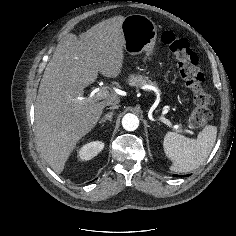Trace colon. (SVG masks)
Instances as JSON below:
<instances>
[{
  "label": "colon",
  "instance_id": "colon-1",
  "mask_svg": "<svg viewBox=\"0 0 236 236\" xmlns=\"http://www.w3.org/2000/svg\"><path fill=\"white\" fill-rule=\"evenodd\" d=\"M161 40L174 55L179 74L193 94L194 108L189 118V126L198 129L211 118L213 104L204 75L198 68V57L185 38H180L171 31L164 32Z\"/></svg>",
  "mask_w": 236,
  "mask_h": 236
}]
</instances>
